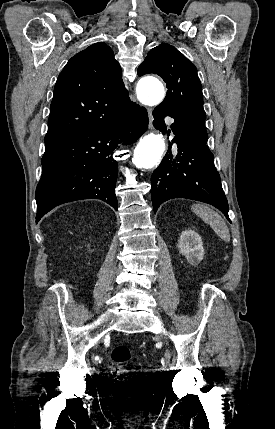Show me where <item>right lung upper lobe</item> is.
<instances>
[{
  "mask_svg": "<svg viewBox=\"0 0 275 429\" xmlns=\"http://www.w3.org/2000/svg\"><path fill=\"white\" fill-rule=\"evenodd\" d=\"M131 103L113 51L103 42L95 43L72 57L57 79L45 144L109 124Z\"/></svg>",
  "mask_w": 275,
  "mask_h": 429,
  "instance_id": "1",
  "label": "right lung upper lobe"
}]
</instances>
